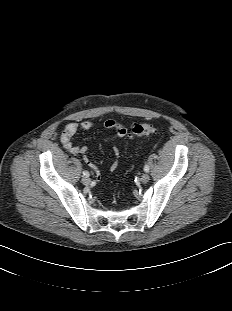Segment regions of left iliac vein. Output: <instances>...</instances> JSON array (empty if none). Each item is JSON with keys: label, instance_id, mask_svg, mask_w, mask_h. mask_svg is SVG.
I'll use <instances>...</instances> for the list:
<instances>
[{"label": "left iliac vein", "instance_id": "left-iliac-vein-1", "mask_svg": "<svg viewBox=\"0 0 232 311\" xmlns=\"http://www.w3.org/2000/svg\"><path fill=\"white\" fill-rule=\"evenodd\" d=\"M149 179H150V176H149V174L148 173H144L142 176H141V182L142 183H147L148 181H149Z\"/></svg>", "mask_w": 232, "mask_h": 311}]
</instances>
